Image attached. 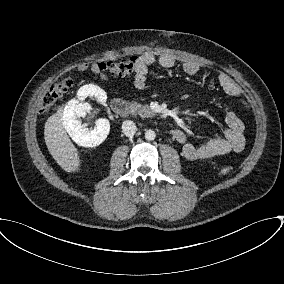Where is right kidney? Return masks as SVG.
Returning <instances> with one entry per match:
<instances>
[{"label":"right kidney","mask_w":284,"mask_h":284,"mask_svg":"<svg viewBox=\"0 0 284 284\" xmlns=\"http://www.w3.org/2000/svg\"><path fill=\"white\" fill-rule=\"evenodd\" d=\"M88 96H95L98 102H105L106 92L94 84H86L77 92L78 100H71L64 111V127L71 138L83 147H95L100 145L110 131V123L107 119L100 118L95 121L94 129H88L82 124L80 117H84L89 109L87 103H82Z\"/></svg>","instance_id":"obj_1"}]
</instances>
